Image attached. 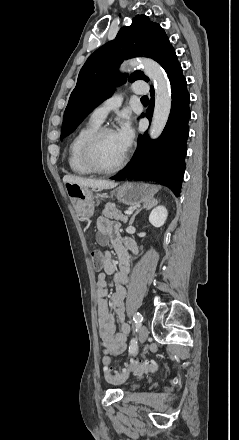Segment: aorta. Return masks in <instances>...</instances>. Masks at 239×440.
<instances>
[{
  "mask_svg": "<svg viewBox=\"0 0 239 440\" xmlns=\"http://www.w3.org/2000/svg\"><path fill=\"white\" fill-rule=\"evenodd\" d=\"M128 68H135V66H141L146 76L156 82L155 90V108L153 114V120L150 128V136L155 140L162 134L167 120L169 118L171 110V88L165 78V74L154 60H148V58H135V60H128L126 62Z\"/></svg>",
  "mask_w": 239,
  "mask_h": 440,
  "instance_id": "aorta-1",
  "label": "aorta"
}]
</instances>
